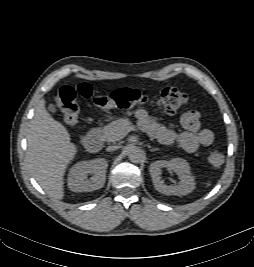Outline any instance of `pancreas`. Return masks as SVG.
Listing matches in <instances>:
<instances>
[{"instance_id": "cf45deb5", "label": "pancreas", "mask_w": 254, "mask_h": 267, "mask_svg": "<svg viewBox=\"0 0 254 267\" xmlns=\"http://www.w3.org/2000/svg\"><path fill=\"white\" fill-rule=\"evenodd\" d=\"M128 119H118L104 126L100 131V138L107 142H116L124 137L123 130L129 127Z\"/></svg>"}]
</instances>
